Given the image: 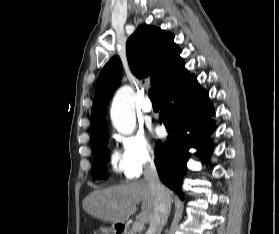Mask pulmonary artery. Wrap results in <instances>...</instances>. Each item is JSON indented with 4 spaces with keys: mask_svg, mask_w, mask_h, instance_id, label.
Returning <instances> with one entry per match:
<instances>
[{
    "mask_svg": "<svg viewBox=\"0 0 279 234\" xmlns=\"http://www.w3.org/2000/svg\"><path fill=\"white\" fill-rule=\"evenodd\" d=\"M141 110L144 113H151L153 111L152 103L150 102L148 97H145L141 103Z\"/></svg>",
    "mask_w": 279,
    "mask_h": 234,
    "instance_id": "1",
    "label": "pulmonary artery"
}]
</instances>
